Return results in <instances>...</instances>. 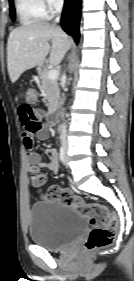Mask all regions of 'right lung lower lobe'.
<instances>
[{
    "label": "right lung lower lobe",
    "instance_id": "right-lung-lower-lobe-1",
    "mask_svg": "<svg viewBox=\"0 0 134 281\" xmlns=\"http://www.w3.org/2000/svg\"><path fill=\"white\" fill-rule=\"evenodd\" d=\"M80 3L81 0H66L62 13V28L74 40L79 41V22H80Z\"/></svg>",
    "mask_w": 134,
    "mask_h": 281
}]
</instances>
